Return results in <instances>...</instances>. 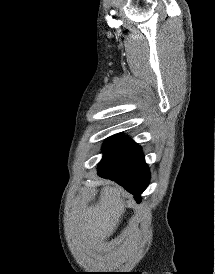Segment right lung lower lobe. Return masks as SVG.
I'll use <instances>...</instances> for the list:
<instances>
[{"label": "right lung lower lobe", "instance_id": "obj_1", "mask_svg": "<svg viewBox=\"0 0 215 274\" xmlns=\"http://www.w3.org/2000/svg\"><path fill=\"white\" fill-rule=\"evenodd\" d=\"M98 175L116 181L134 195L137 202L149 183L150 172L145 163L141 147L137 144L117 163L110 167L99 165Z\"/></svg>", "mask_w": 215, "mask_h": 274}]
</instances>
